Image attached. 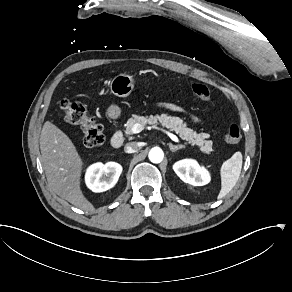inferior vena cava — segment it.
<instances>
[{
	"mask_svg": "<svg viewBox=\"0 0 292 292\" xmlns=\"http://www.w3.org/2000/svg\"><path fill=\"white\" fill-rule=\"evenodd\" d=\"M124 150L126 153H134L139 150V145L137 142H129L125 145Z\"/></svg>",
	"mask_w": 292,
	"mask_h": 292,
	"instance_id": "inferior-vena-cava-1",
	"label": "inferior vena cava"
}]
</instances>
